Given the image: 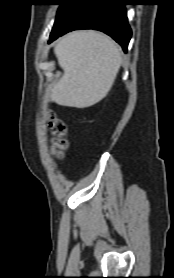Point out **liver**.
<instances>
[{
  "label": "liver",
  "instance_id": "obj_1",
  "mask_svg": "<svg viewBox=\"0 0 174 278\" xmlns=\"http://www.w3.org/2000/svg\"><path fill=\"white\" fill-rule=\"evenodd\" d=\"M54 53L64 74L53 85L50 96L61 106L87 108L98 103L112 88L121 66L118 45L93 30L65 35Z\"/></svg>",
  "mask_w": 174,
  "mask_h": 278
}]
</instances>
